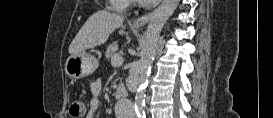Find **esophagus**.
<instances>
[{
    "label": "esophagus",
    "mask_w": 273,
    "mask_h": 118,
    "mask_svg": "<svg viewBox=\"0 0 273 118\" xmlns=\"http://www.w3.org/2000/svg\"><path fill=\"white\" fill-rule=\"evenodd\" d=\"M152 12L145 14L144 16H141L140 18L136 19L133 22V25L137 28L144 26L145 24H147L150 20V18L152 17Z\"/></svg>",
    "instance_id": "1"
}]
</instances>
